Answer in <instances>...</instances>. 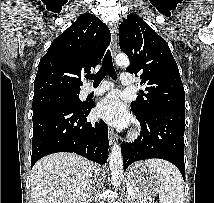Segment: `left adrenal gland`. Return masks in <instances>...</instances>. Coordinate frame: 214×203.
I'll list each match as a JSON object with an SVG mask.
<instances>
[{"mask_svg": "<svg viewBox=\"0 0 214 203\" xmlns=\"http://www.w3.org/2000/svg\"><path fill=\"white\" fill-rule=\"evenodd\" d=\"M128 203H130V196L128 195Z\"/></svg>", "mask_w": 214, "mask_h": 203, "instance_id": "left-adrenal-gland-1", "label": "left adrenal gland"}]
</instances>
